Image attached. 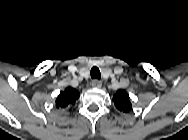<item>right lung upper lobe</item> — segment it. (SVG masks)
<instances>
[{
  "instance_id": "obj_1",
  "label": "right lung upper lobe",
  "mask_w": 188,
  "mask_h": 140,
  "mask_svg": "<svg viewBox=\"0 0 188 140\" xmlns=\"http://www.w3.org/2000/svg\"><path fill=\"white\" fill-rule=\"evenodd\" d=\"M79 92L76 89L67 87L62 91L56 99L57 108H65L71 104H74L75 101L79 98Z\"/></svg>"
}]
</instances>
